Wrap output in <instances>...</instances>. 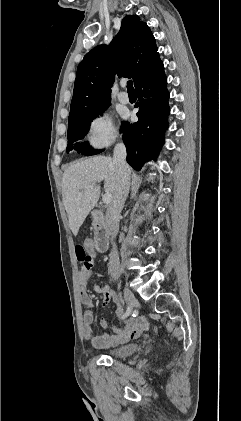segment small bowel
Listing matches in <instances>:
<instances>
[{
  "mask_svg": "<svg viewBox=\"0 0 241 421\" xmlns=\"http://www.w3.org/2000/svg\"><path fill=\"white\" fill-rule=\"evenodd\" d=\"M92 276V266L83 264L78 272L79 298L81 304L85 307L83 313L84 336L96 348L107 349L128 342L131 339L139 337L148 327V321L144 316L130 318L126 325L120 329H112L105 319L101 320V325L110 332H104L100 335H94L91 324L94 320V314L91 310L93 306L92 297L89 294L87 285ZM94 290L100 293L103 298V305L110 301L117 302L115 292L108 286H94Z\"/></svg>",
  "mask_w": 241,
  "mask_h": 421,
  "instance_id": "c3829d8e",
  "label": "small bowel"
}]
</instances>
